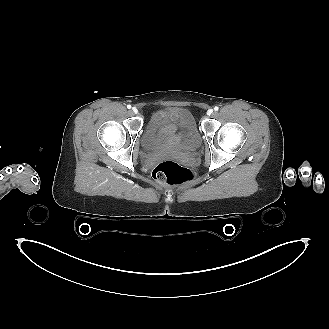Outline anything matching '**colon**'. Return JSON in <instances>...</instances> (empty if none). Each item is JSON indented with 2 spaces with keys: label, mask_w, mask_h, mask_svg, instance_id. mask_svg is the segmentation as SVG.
<instances>
[{
  "label": "colon",
  "mask_w": 329,
  "mask_h": 329,
  "mask_svg": "<svg viewBox=\"0 0 329 329\" xmlns=\"http://www.w3.org/2000/svg\"><path fill=\"white\" fill-rule=\"evenodd\" d=\"M192 123V120H189ZM186 123L187 127L190 124ZM188 131H192V128H188ZM192 137H195V133L190 132ZM153 177L159 182L166 185H190L194 183L196 176L194 172L188 168H185L174 161H164L159 163L153 170Z\"/></svg>",
  "instance_id": "colon-1"
}]
</instances>
